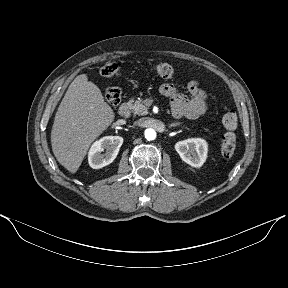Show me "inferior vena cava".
Returning <instances> with one entry per match:
<instances>
[{
  "label": "inferior vena cava",
  "instance_id": "602c4592",
  "mask_svg": "<svg viewBox=\"0 0 288 288\" xmlns=\"http://www.w3.org/2000/svg\"><path fill=\"white\" fill-rule=\"evenodd\" d=\"M141 127H152L156 130H161L163 128V123L159 119L154 118H141L138 121Z\"/></svg>",
  "mask_w": 288,
  "mask_h": 288
}]
</instances>
